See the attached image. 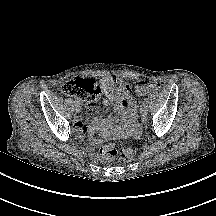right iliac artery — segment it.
<instances>
[{
  "instance_id": "1",
  "label": "right iliac artery",
  "mask_w": 216,
  "mask_h": 216,
  "mask_svg": "<svg viewBox=\"0 0 216 216\" xmlns=\"http://www.w3.org/2000/svg\"><path fill=\"white\" fill-rule=\"evenodd\" d=\"M74 102L77 106H79L81 104L77 99Z\"/></svg>"
}]
</instances>
